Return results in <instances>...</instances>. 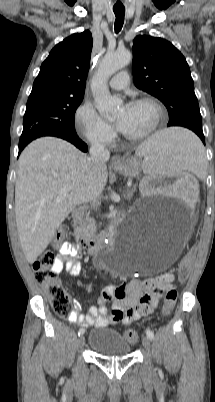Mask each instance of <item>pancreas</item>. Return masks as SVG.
Here are the masks:
<instances>
[{
  "mask_svg": "<svg viewBox=\"0 0 215 402\" xmlns=\"http://www.w3.org/2000/svg\"><path fill=\"white\" fill-rule=\"evenodd\" d=\"M97 231V227L95 224V220L91 218L89 215H86L84 219L78 221L75 233L81 239H90L92 238Z\"/></svg>",
  "mask_w": 215,
  "mask_h": 402,
  "instance_id": "pancreas-1",
  "label": "pancreas"
}]
</instances>
